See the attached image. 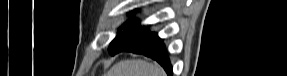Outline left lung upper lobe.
<instances>
[{"label":"left lung upper lobe","mask_w":287,"mask_h":76,"mask_svg":"<svg viewBox=\"0 0 287 76\" xmlns=\"http://www.w3.org/2000/svg\"><path fill=\"white\" fill-rule=\"evenodd\" d=\"M122 28L124 31H118L117 36L109 46V52L111 54L116 53L118 50L129 44H133L143 39L150 33L146 27H142L139 24L137 19L128 20Z\"/></svg>","instance_id":"obj_1"}]
</instances>
